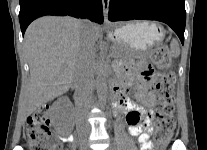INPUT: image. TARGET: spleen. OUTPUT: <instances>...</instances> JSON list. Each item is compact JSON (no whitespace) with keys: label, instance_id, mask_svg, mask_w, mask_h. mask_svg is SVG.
<instances>
[{"label":"spleen","instance_id":"spleen-1","mask_svg":"<svg viewBox=\"0 0 207 150\" xmlns=\"http://www.w3.org/2000/svg\"><path fill=\"white\" fill-rule=\"evenodd\" d=\"M170 48H171V55L176 57L180 53V48H179V43L176 39H173L170 43Z\"/></svg>","mask_w":207,"mask_h":150}]
</instances>
